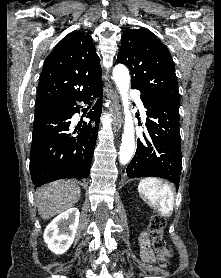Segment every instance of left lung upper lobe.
<instances>
[{"instance_id":"1","label":"left lung upper lobe","mask_w":221,"mask_h":278,"mask_svg":"<svg viewBox=\"0 0 221 278\" xmlns=\"http://www.w3.org/2000/svg\"><path fill=\"white\" fill-rule=\"evenodd\" d=\"M117 63L129 67L132 87L179 106L174 63L168 49L151 31L126 30Z\"/></svg>"}]
</instances>
